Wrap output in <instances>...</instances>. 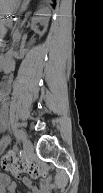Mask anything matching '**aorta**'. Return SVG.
Segmentation results:
<instances>
[{
  "instance_id": "762f6f07",
  "label": "aorta",
  "mask_w": 103,
  "mask_h": 193,
  "mask_svg": "<svg viewBox=\"0 0 103 193\" xmlns=\"http://www.w3.org/2000/svg\"><path fill=\"white\" fill-rule=\"evenodd\" d=\"M29 0H24L25 4L28 2ZM22 11L25 10V7H22L21 9Z\"/></svg>"
}]
</instances>
